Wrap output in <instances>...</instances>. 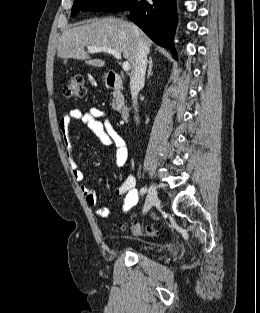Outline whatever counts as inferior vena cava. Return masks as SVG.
<instances>
[{"label":"inferior vena cava","mask_w":260,"mask_h":313,"mask_svg":"<svg viewBox=\"0 0 260 313\" xmlns=\"http://www.w3.org/2000/svg\"><path fill=\"white\" fill-rule=\"evenodd\" d=\"M136 35H138V29L134 26ZM147 53L148 49L144 41L139 38L137 40V52L135 55V64L134 69L130 77V91L133 100V106L137 110V96L140 89L144 86L145 82V73L147 67ZM138 122V117H136Z\"/></svg>","instance_id":"obj_1"}]
</instances>
